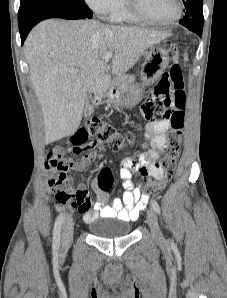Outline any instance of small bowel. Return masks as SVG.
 Segmentation results:
<instances>
[{"mask_svg": "<svg viewBox=\"0 0 227 298\" xmlns=\"http://www.w3.org/2000/svg\"><path fill=\"white\" fill-rule=\"evenodd\" d=\"M170 72H163L161 78L154 82V92L146 99L147 103H172V91ZM171 109V104L165 105ZM159 107L155 104H142L141 115H157ZM162 115H171V110H162ZM145 117L146 127L144 133L145 152L137 155V160L126 158L122 161L119 171L123 181L124 192L120 197L110 198L108 192H97V202L92 205L90 193L85 184L80 183L77 187L70 185L67 173L70 170H81L89 165L94 159V151H104L107 142H84L83 146H50L46 154L47 166L51 168L50 186L55 193L57 189L63 188L78 192L82 199L78 204L70 205L83 215L85 222L95 219L117 218L123 221H135L149 201V195L141 192V184L149 182L152 178H162L166 171L158 161L159 153L168 148V131L171 128L168 117ZM158 122V123H153ZM70 155H83L80 161L70 162L66 158ZM139 176V182L134 179ZM55 184V186H52Z\"/></svg>", "mask_w": 227, "mask_h": 298, "instance_id": "1", "label": "small bowel"}]
</instances>
